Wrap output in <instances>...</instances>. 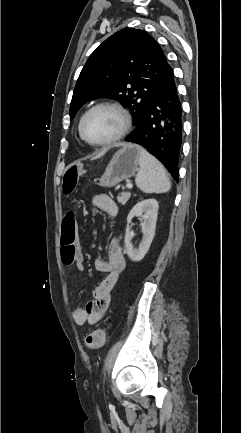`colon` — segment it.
<instances>
[{"label":"colon","instance_id":"colon-1","mask_svg":"<svg viewBox=\"0 0 241 433\" xmlns=\"http://www.w3.org/2000/svg\"><path fill=\"white\" fill-rule=\"evenodd\" d=\"M62 181L59 184L60 195H73L74 190L78 189L80 177L87 176V169L82 168L81 161H70L65 167ZM78 212H62L59 218V225L64 226L61 236V260L65 265H72L75 262L76 252L81 249L79 244V231L77 223ZM107 337L105 327H99L85 339L86 347L89 350L98 349L102 346Z\"/></svg>","mask_w":241,"mask_h":433}]
</instances>
